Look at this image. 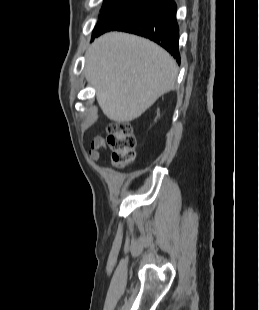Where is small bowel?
<instances>
[{
    "instance_id": "c3829d8e",
    "label": "small bowel",
    "mask_w": 259,
    "mask_h": 310,
    "mask_svg": "<svg viewBox=\"0 0 259 310\" xmlns=\"http://www.w3.org/2000/svg\"><path fill=\"white\" fill-rule=\"evenodd\" d=\"M106 148V143L103 137H95L91 143V148L89 151V157L97 161L101 157L102 151Z\"/></svg>"
}]
</instances>
